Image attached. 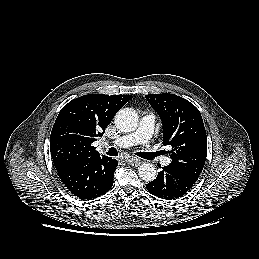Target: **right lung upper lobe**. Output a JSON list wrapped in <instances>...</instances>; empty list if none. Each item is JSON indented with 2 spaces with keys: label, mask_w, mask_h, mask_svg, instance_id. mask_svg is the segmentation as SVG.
<instances>
[{
  "label": "right lung upper lobe",
  "mask_w": 259,
  "mask_h": 259,
  "mask_svg": "<svg viewBox=\"0 0 259 259\" xmlns=\"http://www.w3.org/2000/svg\"><path fill=\"white\" fill-rule=\"evenodd\" d=\"M131 98V95L89 94L66 104L50 136L56 170L80 160L100 157L92 143L104 134L115 114Z\"/></svg>",
  "instance_id": "obj_1"
}]
</instances>
